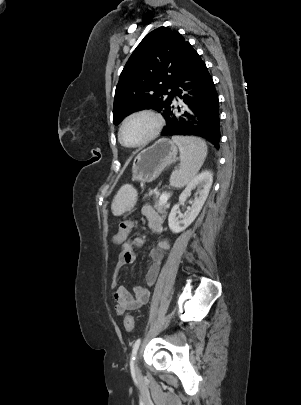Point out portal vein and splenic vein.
<instances>
[{
    "label": "portal vein and splenic vein",
    "mask_w": 301,
    "mask_h": 405,
    "mask_svg": "<svg viewBox=\"0 0 301 405\" xmlns=\"http://www.w3.org/2000/svg\"><path fill=\"white\" fill-rule=\"evenodd\" d=\"M167 200H168L167 194L163 193V194L160 196V201H162V202H167Z\"/></svg>",
    "instance_id": "portal-vein-and-splenic-vein-1"
}]
</instances>
